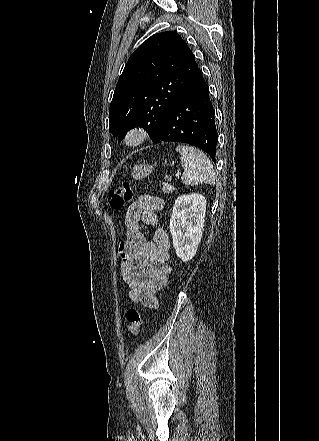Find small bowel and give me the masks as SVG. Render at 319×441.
Returning <instances> with one entry per match:
<instances>
[{
	"mask_svg": "<svg viewBox=\"0 0 319 441\" xmlns=\"http://www.w3.org/2000/svg\"><path fill=\"white\" fill-rule=\"evenodd\" d=\"M163 206V200L153 195H142L134 201L125 215L127 239L119 246L120 273L129 286L128 296L148 308L157 307V293L171 272L167 264L170 242L158 218ZM141 223L154 228L153 238L144 233Z\"/></svg>",
	"mask_w": 319,
	"mask_h": 441,
	"instance_id": "obj_1",
	"label": "small bowel"
}]
</instances>
